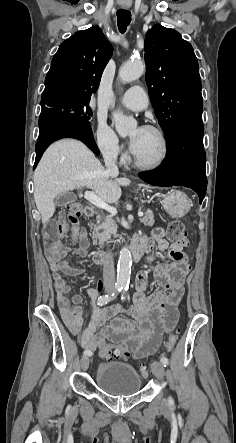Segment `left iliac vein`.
Returning a JSON list of instances; mask_svg holds the SVG:
<instances>
[{"instance_id": "left-iliac-vein-1", "label": "left iliac vein", "mask_w": 236, "mask_h": 443, "mask_svg": "<svg viewBox=\"0 0 236 443\" xmlns=\"http://www.w3.org/2000/svg\"><path fill=\"white\" fill-rule=\"evenodd\" d=\"M151 370L153 372V374L159 379L162 380L164 378V366L162 363L160 362H153L151 364ZM163 408L165 406V404L163 403Z\"/></svg>"}]
</instances>
